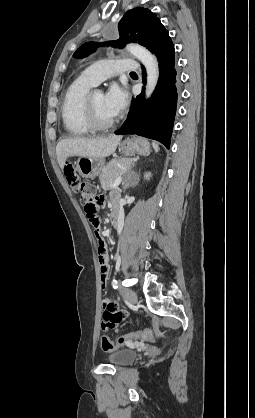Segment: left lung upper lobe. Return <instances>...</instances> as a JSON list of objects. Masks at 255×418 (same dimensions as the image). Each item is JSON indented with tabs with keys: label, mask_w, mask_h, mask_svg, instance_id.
I'll list each match as a JSON object with an SVG mask.
<instances>
[{
	"label": "left lung upper lobe",
	"mask_w": 255,
	"mask_h": 418,
	"mask_svg": "<svg viewBox=\"0 0 255 418\" xmlns=\"http://www.w3.org/2000/svg\"><path fill=\"white\" fill-rule=\"evenodd\" d=\"M119 39L105 45L123 48L126 43L138 42L152 53L156 54L170 39L168 31L161 24L160 19L150 10L142 7L129 10L118 24ZM99 44L88 42L74 53V57L83 58L95 51Z\"/></svg>",
	"instance_id": "5c2ea615"
}]
</instances>
